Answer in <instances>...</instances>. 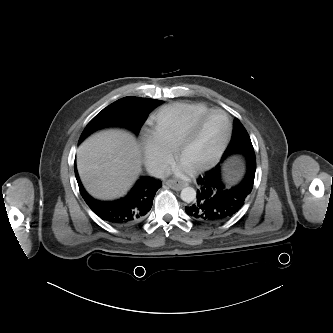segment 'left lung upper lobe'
<instances>
[{
	"label": "left lung upper lobe",
	"mask_w": 333,
	"mask_h": 333,
	"mask_svg": "<svg viewBox=\"0 0 333 333\" xmlns=\"http://www.w3.org/2000/svg\"><path fill=\"white\" fill-rule=\"evenodd\" d=\"M232 155H255L250 137L238 119H235L233 136L222 160Z\"/></svg>",
	"instance_id": "obj_1"
}]
</instances>
